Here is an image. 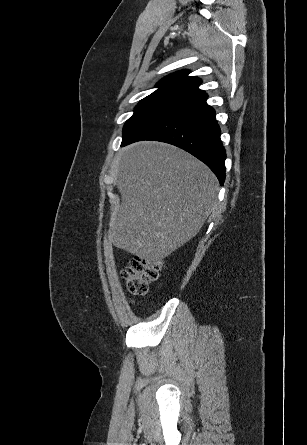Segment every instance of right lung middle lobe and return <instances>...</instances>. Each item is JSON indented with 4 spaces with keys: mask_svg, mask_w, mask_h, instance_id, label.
<instances>
[{
    "mask_svg": "<svg viewBox=\"0 0 307 445\" xmlns=\"http://www.w3.org/2000/svg\"><path fill=\"white\" fill-rule=\"evenodd\" d=\"M185 103L184 100L160 96H147L135 107L134 114L126 121L123 138Z\"/></svg>",
    "mask_w": 307,
    "mask_h": 445,
    "instance_id": "dd1d6c3e",
    "label": "right lung middle lobe"
}]
</instances>
